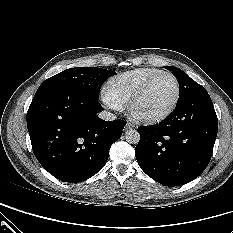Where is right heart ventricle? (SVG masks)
I'll use <instances>...</instances> for the list:
<instances>
[{
  "label": "right heart ventricle",
  "instance_id": "obj_1",
  "mask_svg": "<svg viewBox=\"0 0 233 233\" xmlns=\"http://www.w3.org/2000/svg\"><path fill=\"white\" fill-rule=\"evenodd\" d=\"M160 71L154 67H142L121 73L108 81L106 90L117 102L124 105L148 78Z\"/></svg>",
  "mask_w": 233,
  "mask_h": 233
}]
</instances>
